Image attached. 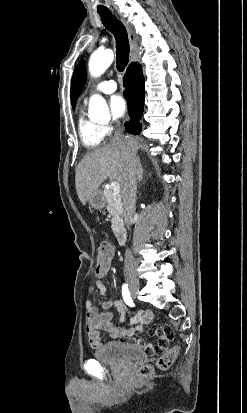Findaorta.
I'll return each mask as SVG.
<instances>
[{
    "mask_svg": "<svg viewBox=\"0 0 247 413\" xmlns=\"http://www.w3.org/2000/svg\"><path fill=\"white\" fill-rule=\"evenodd\" d=\"M114 54L111 50L96 51L89 60V71L94 77L103 74L111 65ZM109 116L108 106L103 97L93 95L89 102V117L93 119H100Z\"/></svg>",
    "mask_w": 247,
    "mask_h": 413,
    "instance_id": "1",
    "label": "aorta"
}]
</instances>
